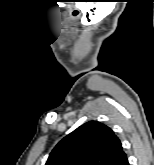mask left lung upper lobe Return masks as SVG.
Segmentation results:
<instances>
[{"instance_id":"5c2ea615","label":"left lung upper lobe","mask_w":154,"mask_h":165,"mask_svg":"<svg viewBox=\"0 0 154 165\" xmlns=\"http://www.w3.org/2000/svg\"><path fill=\"white\" fill-rule=\"evenodd\" d=\"M123 153L120 140L109 127L90 121L64 137L45 165H117Z\"/></svg>"}]
</instances>
